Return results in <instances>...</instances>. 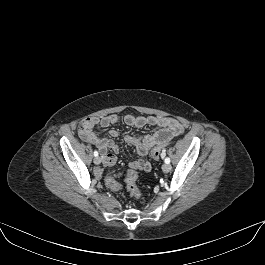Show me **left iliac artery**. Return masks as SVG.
I'll list each match as a JSON object with an SVG mask.
<instances>
[{"mask_svg": "<svg viewBox=\"0 0 265 265\" xmlns=\"http://www.w3.org/2000/svg\"><path fill=\"white\" fill-rule=\"evenodd\" d=\"M165 163L169 164L170 163V158H165Z\"/></svg>", "mask_w": 265, "mask_h": 265, "instance_id": "1", "label": "left iliac artery"}]
</instances>
